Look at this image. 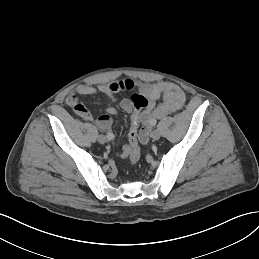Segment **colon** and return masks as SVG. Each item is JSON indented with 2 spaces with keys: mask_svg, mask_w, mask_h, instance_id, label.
I'll use <instances>...</instances> for the list:
<instances>
[{
  "mask_svg": "<svg viewBox=\"0 0 259 259\" xmlns=\"http://www.w3.org/2000/svg\"><path fill=\"white\" fill-rule=\"evenodd\" d=\"M132 114L131 124L128 135V156L130 163L136 165L140 160V146H139V127L141 124V114L148 106V99L141 93L133 94L131 99Z\"/></svg>",
  "mask_w": 259,
  "mask_h": 259,
  "instance_id": "obj_1",
  "label": "colon"
}]
</instances>
